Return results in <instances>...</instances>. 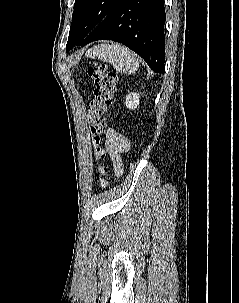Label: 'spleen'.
I'll return each mask as SVG.
<instances>
[{
  "mask_svg": "<svg viewBox=\"0 0 239 303\" xmlns=\"http://www.w3.org/2000/svg\"><path fill=\"white\" fill-rule=\"evenodd\" d=\"M86 56L110 63L121 73L133 74L139 66V58L129 48L119 44H101L90 49Z\"/></svg>",
  "mask_w": 239,
  "mask_h": 303,
  "instance_id": "spleen-1",
  "label": "spleen"
}]
</instances>
